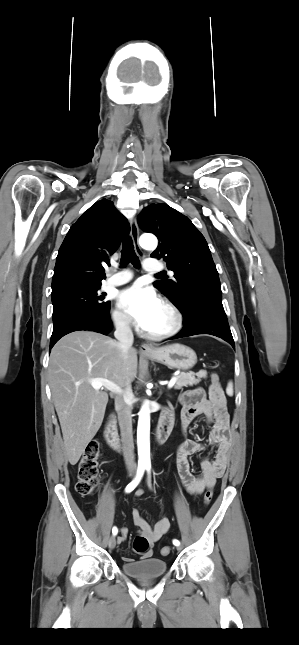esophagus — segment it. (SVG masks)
<instances>
[{"label":"esophagus","instance_id":"1","mask_svg":"<svg viewBox=\"0 0 299 645\" xmlns=\"http://www.w3.org/2000/svg\"><path fill=\"white\" fill-rule=\"evenodd\" d=\"M130 235H131V238H132V240H133V243H134V246H135L136 252H137L139 255H141L142 250H141V248H140V246H139V243H138V240H139V229H138V226H137V223H136V220H135V219H132V220H131V223H130ZM140 352H141V354L148 355V354H152V353L156 352V349H155V347H154L152 344H150V343H143V344H141V346H140Z\"/></svg>","mask_w":299,"mask_h":645}]
</instances>
